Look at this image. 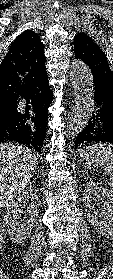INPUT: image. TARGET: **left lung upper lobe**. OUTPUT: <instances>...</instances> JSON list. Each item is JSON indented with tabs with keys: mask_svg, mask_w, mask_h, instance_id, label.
<instances>
[{
	"mask_svg": "<svg viewBox=\"0 0 113 279\" xmlns=\"http://www.w3.org/2000/svg\"><path fill=\"white\" fill-rule=\"evenodd\" d=\"M74 53L90 67L91 72L113 81L106 55L88 35L78 33L74 37Z\"/></svg>",
	"mask_w": 113,
	"mask_h": 279,
	"instance_id": "5c2ea615",
	"label": "left lung upper lobe"
}]
</instances>
